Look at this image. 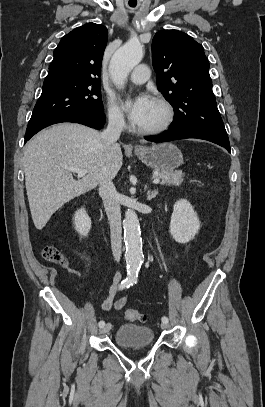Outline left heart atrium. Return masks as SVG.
Instances as JSON below:
<instances>
[{
  "label": "left heart atrium",
  "instance_id": "obj_1",
  "mask_svg": "<svg viewBox=\"0 0 265 407\" xmlns=\"http://www.w3.org/2000/svg\"><path fill=\"white\" fill-rule=\"evenodd\" d=\"M153 100L147 95H140L129 102L130 119L136 125L143 122L151 109Z\"/></svg>",
  "mask_w": 265,
  "mask_h": 407
}]
</instances>
